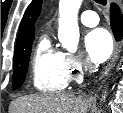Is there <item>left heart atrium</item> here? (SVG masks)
I'll return each instance as SVG.
<instances>
[{
  "instance_id": "left-heart-atrium-1",
  "label": "left heart atrium",
  "mask_w": 123,
  "mask_h": 113,
  "mask_svg": "<svg viewBox=\"0 0 123 113\" xmlns=\"http://www.w3.org/2000/svg\"><path fill=\"white\" fill-rule=\"evenodd\" d=\"M84 46L88 59L94 63H101L107 60L113 50L112 38L102 28L88 32L84 39Z\"/></svg>"
}]
</instances>
